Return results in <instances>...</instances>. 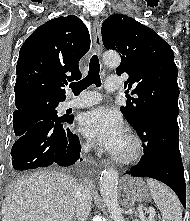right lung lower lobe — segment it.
<instances>
[{
    "instance_id": "98d812e1",
    "label": "right lung lower lobe",
    "mask_w": 190,
    "mask_h": 221,
    "mask_svg": "<svg viewBox=\"0 0 190 221\" xmlns=\"http://www.w3.org/2000/svg\"><path fill=\"white\" fill-rule=\"evenodd\" d=\"M72 119L42 120L18 137L12 149V166L16 170L46 167L57 163L70 166L80 158L81 146L77 135L65 131ZM82 160V159H80Z\"/></svg>"
}]
</instances>
